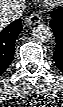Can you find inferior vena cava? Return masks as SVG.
<instances>
[{"label": "inferior vena cava", "mask_w": 63, "mask_h": 107, "mask_svg": "<svg viewBox=\"0 0 63 107\" xmlns=\"http://www.w3.org/2000/svg\"><path fill=\"white\" fill-rule=\"evenodd\" d=\"M25 8V1L24 0H14L10 7H6L1 5V18L7 19L9 21H13L18 19L22 16L23 11Z\"/></svg>", "instance_id": "inferior-vena-cava-1"}]
</instances>
